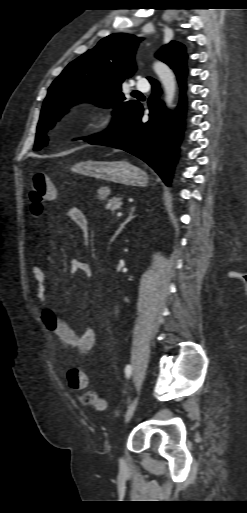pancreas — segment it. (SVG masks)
I'll list each match as a JSON object with an SVG mask.
<instances>
[{"label": "pancreas", "mask_w": 247, "mask_h": 513, "mask_svg": "<svg viewBox=\"0 0 247 513\" xmlns=\"http://www.w3.org/2000/svg\"><path fill=\"white\" fill-rule=\"evenodd\" d=\"M121 208V201L117 197H113L108 200L106 204V209L111 211V214L114 215L117 210Z\"/></svg>", "instance_id": "pancreas-1"}]
</instances>
